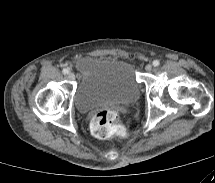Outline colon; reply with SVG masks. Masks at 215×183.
<instances>
[{
	"label": "colon",
	"instance_id": "1",
	"mask_svg": "<svg viewBox=\"0 0 215 183\" xmlns=\"http://www.w3.org/2000/svg\"><path fill=\"white\" fill-rule=\"evenodd\" d=\"M92 133L100 138L120 135L125 131L119 113L115 109H106L93 116L90 122Z\"/></svg>",
	"mask_w": 215,
	"mask_h": 183
}]
</instances>
